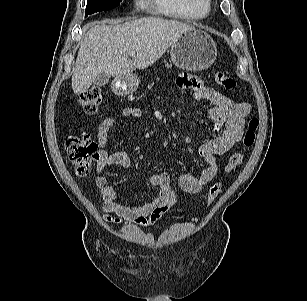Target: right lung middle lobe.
Wrapping results in <instances>:
<instances>
[{"label":"right lung middle lobe","mask_w":307,"mask_h":301,"mask_svg":"<svg viewBox=\"0 0 307 301\" xmlns=\"http://www.w3.org/2000/svg\"><path fill=\"white\" fill-rule=\"evenodd\" d=\"M122 0H87L85 16L101 11L110 10L120 4Z\"/></svg>","instance_id":"obj_1"}]
</instances>
